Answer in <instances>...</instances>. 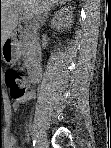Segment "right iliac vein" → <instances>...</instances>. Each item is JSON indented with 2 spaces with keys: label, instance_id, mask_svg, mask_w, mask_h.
I'll use <instances>...</instances> for the list:
<instances>
[{
  "label": "right iliac vein",
  "instance_id": "63e3f726",
  "mask_svg": "<svg viewBox=\"0 0 111 148\" xmlns=\"http://www.w3.org/2000/svg\"><path fill=\"white\" fill-rule=\"evenodd\" d=\"M33 130L34 129H32V133H33L34 139H36L37 141V145L40 146L41 148L44 147L46 143V138L43 135L42 131L40 129L39 130L35 129V131Z\"/></svg>",
  "mask_w": 111,
  "mask_h": 148
}]
</instances>
